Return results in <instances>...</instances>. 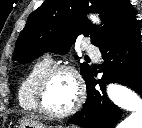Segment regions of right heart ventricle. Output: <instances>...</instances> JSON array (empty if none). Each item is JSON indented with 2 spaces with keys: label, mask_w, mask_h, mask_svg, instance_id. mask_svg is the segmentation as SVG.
<instances>
[{
  "label": "right heart ventricle",
  "mask_w": 142,
  "mask_h": 128,
  "mask_svg": "<svg viewBox=\"0 0 142 128\" xmlns=\"http://www.w3.org/2000/svg\"><path fill=\"white\" fill-rule=\"evenodd\" d=\"M52 65V60L44 57L35 62L25 73L18 87L19 105L27 111H38L35 100L36 85L41 75Z\"/></svg>",
  "instance_id": "e07e8e85"
}]
</instances>
